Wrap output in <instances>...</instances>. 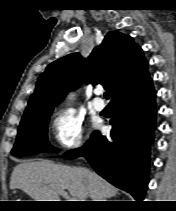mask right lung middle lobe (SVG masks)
<instances>
[{"label":"right lung middle lobe","mask_w":176,"mask_h":211,"mask_svg":"<svg viewBox=\"0 0 176 211\" xmlns=\"http://www.w3.org/2000/svg\"><path fill=\"white\" fill-rule=\"evenodd\" d=\"M53 109H47L32 116L22 118L15 145L11 151L16 156H28L37 153L58 152L48 142L47 128Z\"/></svg>","instance_id":"dd1d6c3e"}]
</instances>
